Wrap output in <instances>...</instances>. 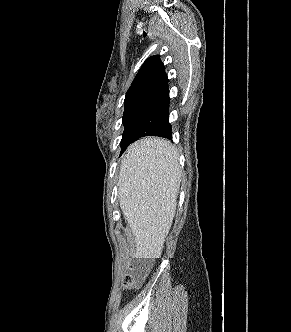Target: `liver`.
I'll use <instances>...</instances> for the list:
<instances>
[{"label":"liver","instance_id":"6515ba94","mask_svg":"<svg viewBox=\"0 0 291 332\" xmlns=\"http://www.w3.org/2000/svg\"><path fill=\"white\" fill-rule=\"evenodd\" d=\"M181 182L179 152L170 141L146 137L126 150L118 197L138 258L161 256L176 211Z\"/></svg>","mask_w":291,"mask_h":332}]
</instances>
